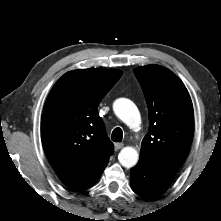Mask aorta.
Instances as JSON below:
<instances>
[{"label":"aorta","mask_w":221,"mask_h":221,"mask_svg":"<svg viewBox=\"0 0 221 221\" xmlns=\"http://www.w3.org/2000/svg\"><path fill=\"white\" fill-rule=\"evenodd\" d=\"M115 114L130 128H136L141 122V117L136 105L125 98L117 99L113 104ZM118 159L120 164L125 168L135 166L139 159V154L133 147H124Z\"/></svg>","instance_id":"1"}]
</instances>
